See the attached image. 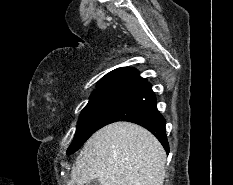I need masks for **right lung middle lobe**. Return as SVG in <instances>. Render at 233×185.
I'll return each mask as SVG.
<instances>
[{
	"label": "right lung middle lobe",
	"mask_w": 233,
	"mask_h": 185,
	"mask_svg": "<svg viewBox=\"0 0 233 185\" xmlns=\"http://www.w3.org/2000/svg\"><path fill=\"white\" fill-rule=\"evenodd\" d=\"M128 90L112 89L95 91L88 104L82 110L77 130L67 154L77 151L83 143L98 130V125L105 116L129 93Z\"/></svg>",
	"instance_id": "obj_1"
}]
</instances>
